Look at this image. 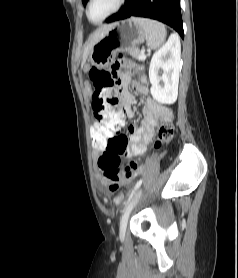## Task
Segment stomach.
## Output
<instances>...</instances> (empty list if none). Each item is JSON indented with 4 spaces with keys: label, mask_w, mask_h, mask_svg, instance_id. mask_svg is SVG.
Returning a JSON list of instances; mask_svg holds the SVG:
<instances>
[{
    "label": "stomach",
    "mask_w": 238,
    "mask_h": 278,
    "mask_svg": "<svg viewBox=\"0 0 238 278\" xmlns=\"http://www.w3.org/2000/svg\"><path fill=\"white\" fill-rule=\"evenodd\" d=\"M146 33L135 18L111 24L105 35L92 47L89 60L99 68L110 66L119 51H130L142 44Z\"/></svg>",
    "instance_id": "obj_1"
}]
</instances>
